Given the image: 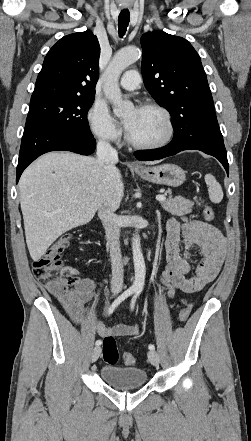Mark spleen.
I'll return each mask as SVG.
<instances>
[{"label": "spleen", "mask_w": 251, "mask_h": 441, "mask_svg": "<svg viewBox=\"0 0 251 441\" xmlns=\"http://www.w3.org/2000/svg\"><path fill=\"white\" fill-rule=\"evenodd\" d=\"M205 182L208 186V193L211 202L220 203L223 199V191L221 185L217 182L216 178L211 174L205 175Z\"/></svg>", "instance_id": "obj_1"}]
</instances>
